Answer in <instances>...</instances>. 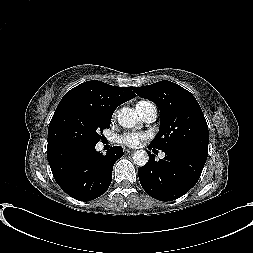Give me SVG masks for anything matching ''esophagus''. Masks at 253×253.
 <instances>
[{
  "mask_svg": "<svg viewBox=\"0 0 253 253\" xmlns=\"http://www.w3.org/2000/svg\"><path fill=\"white\" fill-rule=\"evenodd\" d=\"M135 152V150H133V149H125V153H134Z\"/></svg>",
  "mask_w": 253,
  "mask_h": 253,
  "instance_id": "obj_1",
  "label": "esophagus"
}]
</instances>
